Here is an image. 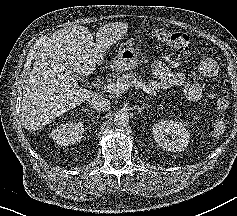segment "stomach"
Segmentation results:
<instances>
[{
	"label": "stomach",
	"mask_w": 237,
	"mask_h": 216,
	"mask_svg": "<svg viewBox=\"0 0 237 216\" xmlns=\"http://www.w3.org/2000/svg\"><path fill=\"white\" fill-rule=\"evenodd\" d=\"M145 46V45H143ZM146 48V47H144ZM141 54L140 48H124L120 53L113 59L112 67L119 71H127L133 69L139 62V56Z\"/></svg>",
	"instance_id": "0dacf381"
}]
</instances>
